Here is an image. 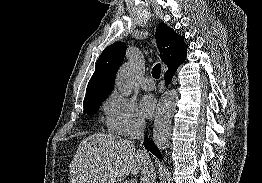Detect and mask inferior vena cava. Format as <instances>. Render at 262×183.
<instances>
[{
  "instance_id": "inferior-vena-cava-1",
  "label": "inferior vena cava",
  "mask_w": 262,
  "mask_h": 183,
  "mask_svg": "<svg viewBox=\"0 0 262 183\" xmlns=\"http://www.w3.org/2000/svg\"><path fill=\"white\" fill-rule=\"evenodd\" d=\"M145 126L146 124L143 119L141 118L136 119L133 124V130L132 133L130 134L129 139L131 141L138 139L142 142L144 139ZM140 156L143 160L140 183H156V173H155L154 165L148 153H146L145 150H141Z\"/></svg>"
}]
</instances>
